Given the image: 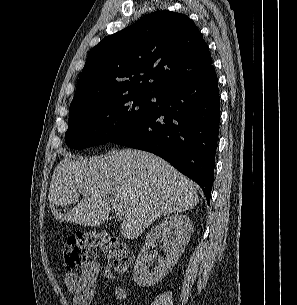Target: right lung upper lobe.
Here are the masks:
<instances>
[{
    "mask_svg": "<svg viewBox=\"0 0 297 305\" xmlns=\"http://www.w3.org/2000/svg\"><path fill=\"white\" fill-rule=\"evenodd\" d=\"M213 71L209 48L195 24L184 14L157 11L90 51L70 109L131 91L158 94Z\"/></svg>",
    "mask_w": 297,
    "mask_h": 305,
    "instance_id": "obj_1",
    "label": "right lung upper lobe"
}]
</instances>
